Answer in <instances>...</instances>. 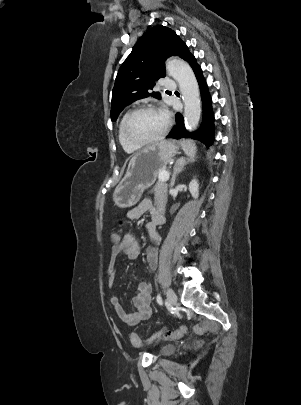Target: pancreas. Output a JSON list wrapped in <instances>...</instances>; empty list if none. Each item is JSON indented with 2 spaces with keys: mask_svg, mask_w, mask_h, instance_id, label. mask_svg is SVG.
<instances>
[{
  "mask_svg": "<svg viewBox=\"0 0 301 405\" xmlns=\"http://www.w3.org/2000/svg\"><path fill=\"white\" fill-rule=\"evenodd\" d=\"M161 171H166V169L165 168L160 169L158 172V176ZM153 192H154L155 204L157 205V207L159 209L163 210L167 204V195H166L165 184L162 181L157 182V184L155 185V187L153 189Z\"/></svg>",
  "mask_w": 301,
  "mask_h": 405,
  "instance_id": "obj_1",
  "label": "pancreas"
}]
</instances>
